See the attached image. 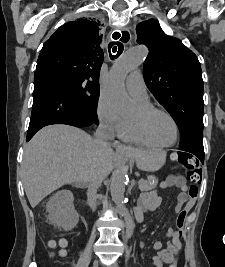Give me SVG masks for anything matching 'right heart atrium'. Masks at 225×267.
Instances as JSON below:
<instances>
[{
	"instance_id": "right-heart-atrium-1",
	"label": "right heart atrium",
	"mask_w": 225,
	"mask_h": 267,
	"mask_svg": "<svg viewBox=\"0 0 225 267\" xmlns=\"http://www.w3.org/2000/svg\"><path fill=\"white\" fill-rule=\"evenodd\" d=\"M97 115L101 125L108 131L122 136L126 126L124 119L113 104L104 96H100L97 103Z\"/></svg>"
}]
</instances>
